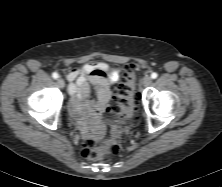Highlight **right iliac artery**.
I'll list each match as a JSON object with an SVG mask.
<instances>
[{"instance_id":"82829eb1","label":"right iliac artery","mask_w":222,"mask_h":187,"mask_svg":"<svg viewBox=\"0 0 222 187\" xmlns=\"http://www.w3.org/2000/svg\"><path fill=\"white\" fill-rule=\"evenodd\" d=\"M52 77H53L54 79H57V78L59 77V75H58L56 72H54V73L52 74Z\"/></svg>"}]
</instances>
